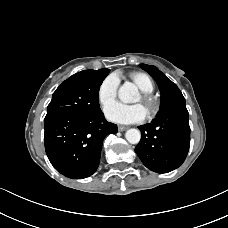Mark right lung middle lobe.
<instances>
[{
    "label": "right lung middle lobe",
    "instance_id": "1",
    "mask_svg": "<svg viewBox=\"0 0 228 228\" xmlns=\"http://www.w3.org/2000/svg\"><path fill=\"white\" fill-rule=\"evenodd\" d=\"M109 69L84 70L65 80L53 93L47 115L56 112L96 114L100 112L99 88Z\"/></svg>",
    "mask_w": 228,
    "mask_h": 228
}]
</instances>
